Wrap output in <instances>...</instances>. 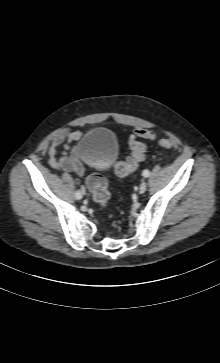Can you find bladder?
I'll list each match as a JSON object with an SVG mask.
<instances>
[{
	"mask_svg": "<svg viewBox=\"0 0 220 363\" xmlns=\"http://www.w3.org/2000/svg\"><path fill=\"white\" fill-rule=\"evenodd\" d=\"M80 158L91 167L111 165L118 156V145L113 132L93 128L80 139L77 147Z\"/></svg>",
	"mask_w": 220,
	"mask_h": 363,
	"instance_id": "1",
	"label": "bladder"
}]
</instances>
